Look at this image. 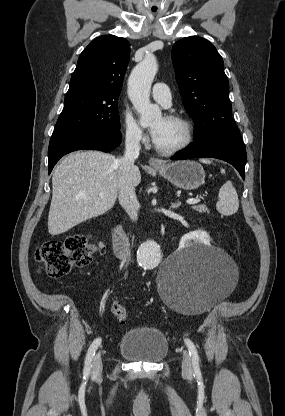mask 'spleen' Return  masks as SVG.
Listing matches in <instances>:
<instances>
[{
    "instance_id": "obj_1",
    "label": "spleen",
    "mask_w": 285,
    "mask_h": 416,
    "mask_svg": "<svg viewBox=\"0 0 285 416\" xmlns=\"http://www.w3.org/2000/svg\"><path fill=\"white\" fill-rule=\"evenodd\" d=\"M202 164H211V160L202 158L199 160ZM221 174H225V170H221ZM239 208V200L232 182H226L219 190V202L216 204V210L222 216H233Z\"/></svg>"
}]
</instances>
